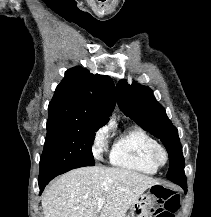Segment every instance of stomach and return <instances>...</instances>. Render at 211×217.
I'll return each instance as SVG.
<instances>
[{
	"mask_svg": "<svg viewBox=\"0 0 211 217\" xmlns=\"http://www.w3.org/2000/svg\"><path fill=\"white\" fill-rule=\"evenodd\" d=\"M158 186V185H154ZM156 187H150L148 192L139 196L136 202L131 207L130 216L128 217H151L150 210L154 204V194L152 191L156 190Z\"/></svg>",
	"mask_w": 211,
	"mask_h": 217,
	"instance_id": "stomach-1",
	"label": "stomach"
}]
</instances>
